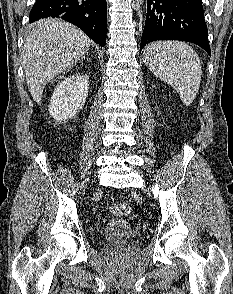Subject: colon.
<instances>
[{
    "mask_svg": "<svg viewBox=\"0 0 233 294\" xmlns=\"http://www.w3.org/2000/svg\"><path fill=\"white\" fill-rule=\"evenodd\" d=\"M130 205L126 202H117L111 206V212L115 216H124L130 212Z\"/></svg>",
    "mask_w": 233,
    "mask_h": 294,
    "instance_id": "obj_1",
    "label": "colon"
}]
</instances>
